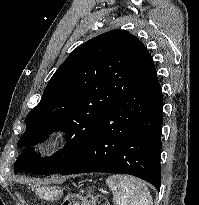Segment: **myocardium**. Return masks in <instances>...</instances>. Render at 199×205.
I'll list each match as a JSON object with an SVG mask.
<instances>
[{"mask_svg": "<svg viewBox=\"0 0 199 205\" xmlns=\"http://www.w3.org/2000/svg\"><path fill=\"white\" fill-rule=\"evenodd\" d=\"M65 145V137L57 132H51L42 137L36 145V154L47 157L55 154Z\"/></svg>", "mask_w": 199, "mask_h": 205, "instance_id": "1", "label": "myocardium"}]
</instances>
